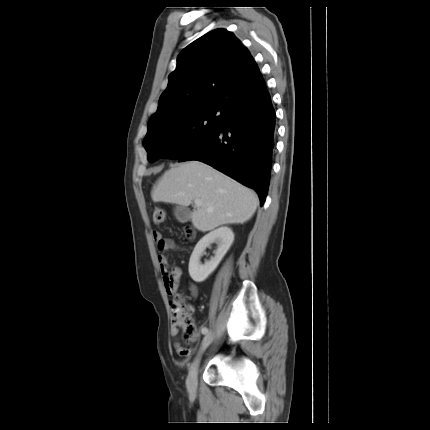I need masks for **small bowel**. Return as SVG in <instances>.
Returning <instances> with one entry per match:
<instances>
[{
  "instance_id": "c3829d8e",
  "label": "small bowel",
  "mask_w": 430,
  "mask_h": 430,
  "mask_svg": "<svg viewBox=\"0 0 430 430\" xmlns=\"http://www.w3.org/2000/svg\"><path fill=\"white\" fill-rule=\"evenodd\" d=\"M153 238L156 241L158 248L160 250H168L173 246V242L171 240L164 239L160 233H157V232L154 233ZM158 263H159L160 270L163 274L162 281L164 283L165 293L174 294L179 285L180 279L182 277L181 268L173 267L170 270V274H168L166 270L167 260L163 255L158 256ZM189 290L193 297L196 296L197 288L194 285H191ZM206 330H208L206 326H202L200 328V332L203 335L205 334ZM170 334L173 339L172 346L174 350L181 356L189 357L192 351L191 349L182 347V345L177 340V337L179 334V328L175 324L172 325Z\"/></svg>"
}]
</instances>
